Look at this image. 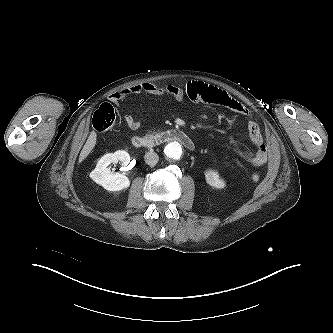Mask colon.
Segmentation results:
<instances>
[{
  "label": "colon",
  "instance_id": "obj_1",
  "mask_svg": "<svg viewBox=\"0 0 333 333\" xmlns=\"http://www.w3.org/2000/svg\"><path fill=\"white\" fill-rule=\"evenodd\" d=\"M116 122V115L113 106L109 103H103L94 113L92 125L99 132L111 130ZM253 182L260 180V175L254 173L251 176Z\"/></svg>",
  "mask_w": 333,
  "mask_h": 333
}]
</instances>
